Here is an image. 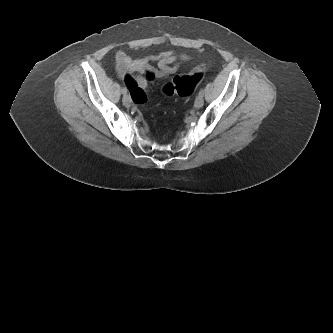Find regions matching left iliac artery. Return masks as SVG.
Masks as SVG:
<instances>
[{
    "mask_svg": "<svg viewBox=\"0 0 333 333\" xmlns=\"http://www.w3.org/2000/svg\"><path fill=\"white\" fill-rule=\"evenodd\" d=\"M203 94H204V90L201 89V90L199 91V95L203 96Z\"/></svg>",
    "mask_w": 333,
    "mask_h": 333,
    "instance_id": "obj_1",
    "label": "left iliac artery"
}]
</instances>
